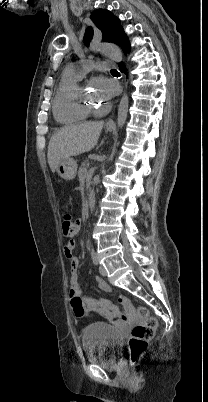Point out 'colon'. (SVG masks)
Segmentation results:
<instances>
[{"instance_id": "obj_1", "label": "colon", "mask_w": 208, "mask_h": 402, "mask_svg": "<svg viewBox=\"0 0 208 402\" xmlns=\"http://www.w3.org/2000/svg\"><path fill=\"white\" fill-rule=\"evenodd\" d=\"M78 221L66 212L62 221V234L64 238H69L70 235L75 234V224ZM71 306L76 315H86L88 312L84 311V304L81 297L74 295L71 298ZM138 314L144 317L142 324H133L131 326V338H130V352L131 361H138L145 353L147 343L154 337L157 327L159 325L158 318H147L148 310L145 308L138 309Z\"/></svg>"}]
</instances>
